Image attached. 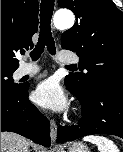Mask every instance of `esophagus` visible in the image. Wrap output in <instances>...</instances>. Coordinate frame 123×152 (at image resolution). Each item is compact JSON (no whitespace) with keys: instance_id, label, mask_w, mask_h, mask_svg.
Returning <instances> with one entry per match:
<instances>
[{"instance_id":"1","label":"esophagus","mask_w":123,"mask_h":152,"mask_svg":"<svg viewBox=\"0 0 123 152\" xmlns=\"http://www.w3.org/2000/svg\"><path fill=\"white\" fill-rule=\"evenodd\" d=\"M50 137L52 144H55L57 138V125L53 119L50 121Z\"/></svg>"}]
</instances>
